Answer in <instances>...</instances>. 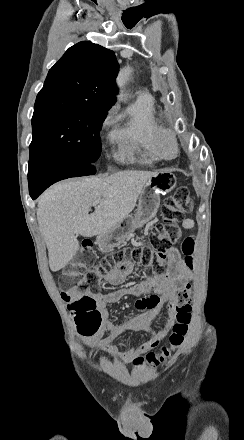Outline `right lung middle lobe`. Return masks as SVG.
Instances as JSON below:
<instances>
[{
	"instance_id": "dd1d6c3e",
	"label": "right lung middle lobe",
	"mask_w": 244,
	"mask_h": 440,
	"mask_svg": "<svg viewBox=\"0 0 244 440\" xmlns=\"http://www.w3.org/2000/svg\"><path fill=\"white\" fill-rule=\"evenodd\" d=\"M108 110L78 101L35 102L29 156L56 155L95 163L102 147L100 129Z\"/></svg>"
}]
</instances>
